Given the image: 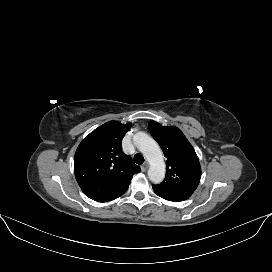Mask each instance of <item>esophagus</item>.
<instances>
[{"label":"esophagus","mask_w":272,"mask_h":272,"mask_svg":"<svg viewBox=\"0 0 272 272\" xmlns=\"http://www.w3.org/2000/svg\"><path fill=\"white\" fill-rule=\"evenodd\" d=\"M148 167H149V163H148L147 161L144 162V163L142 164V166H141V168H142L143 171H146V170L148 169Z\"/></svg>","instance_id":"34e87169"}]
</instances>
